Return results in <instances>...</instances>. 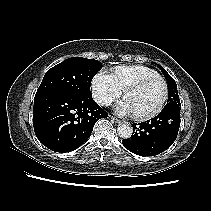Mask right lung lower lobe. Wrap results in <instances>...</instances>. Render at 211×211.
I'll list each match as a JSON object with an SVG mask.
<instances>
[{
  "mask_svg": "<svg viewBox=\"0 0 211 211\" xmlns=\"http://www.w3.org/2000/svg\"><path fill=\"white\" fill-rule=\"evenodd\" d=\"M107 116L89 95L54 92L34 98L35 134L55 152L77 149L89 138L95 123Z\"/></svg>",
  "mask_w": 211,
  "mask_h": 211,
  "instance_id": "98d812e1",
  "label": "right lung lower lobe"
}]
</instances>
